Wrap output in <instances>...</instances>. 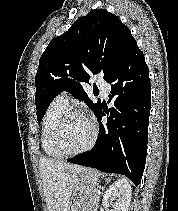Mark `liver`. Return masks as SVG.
<instances>
[{
    "instance_id": "obj_1",
    "label": "liver",
    "mask_w": 178,
    "mask_h": 211,
    "mask_svg": "<svg viewBox=\"0 0 178 211\" xmlns=\"http://www.w3.org/2000/svg\"><path fill=\"white\" fill-rule=\"evenodd\" d=\"M85 170L83 166L59 160L49 158L39 160L40 177L48 211H67L78 174Z\"/></svg>"
}]
</instances>
